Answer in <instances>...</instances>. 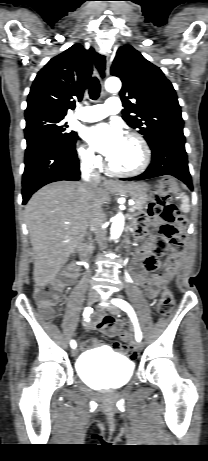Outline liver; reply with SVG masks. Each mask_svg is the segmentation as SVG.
<instances>
[{"label": "liver", "mask_w": 208, "mask_h": 461, "mask_svg": "<svg viewBox=\"0 0 208 461\" xmlns=\"http://www.w3.org/2000/svg\"><path fill=\"white\" fill-rule=\"evenodd\" d=\"M108 190L91 192L85 183L55 182L38 190L25 208L34 251V281L44 286L61 270L85 234L94 208H101Z\"/></svg>", "instance_id": "6515ba94"}]
</instances>
